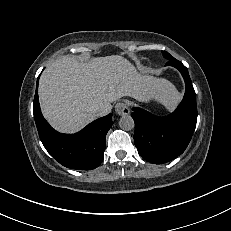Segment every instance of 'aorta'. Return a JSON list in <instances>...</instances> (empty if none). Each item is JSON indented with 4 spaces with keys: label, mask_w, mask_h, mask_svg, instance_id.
<instances>
[{
    "label": "aorta",
    "mask_w": 231,
    "mask_h": 231,
    "mask_svg": "<svg viewBox=\"0 0 231 231\" xmlns=\"http://www.w3.org/2000/svg\"><path fill=\"white\" fill-rule=\"evenodd\" d=\"M119 126L121 129L129 131L132 130L135 126L134 120L131 116L125 115L122 116L119 120Z\"/></svg>",
    "instance_id": "762f6f07"
}]
</instances>
